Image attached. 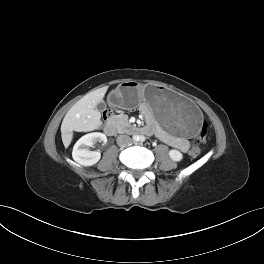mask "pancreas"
<instances>
[{"label":"pancreas","mask_w":264,"mask_h":264,"mask_svg":"<svg viewBox=\"0 0 264 264\" xmlns=\"http://www.w3.org/2000/svg\"><path fill=\"white\" fill-rule=\"evenodd\" d=\"M112 119L114 120L116 125L121 129L128 126V117L125 115H114Z\"/></svg>","instance_id":"pancreas-1"}]
</instances>
